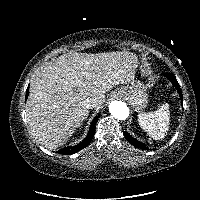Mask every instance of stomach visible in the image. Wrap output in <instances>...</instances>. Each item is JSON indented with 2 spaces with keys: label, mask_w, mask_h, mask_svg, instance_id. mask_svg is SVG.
Returning a JSON list of instances; mask_svg holds the SVG:
<instances>
[{
  "label": "stomach",
  "mask_w": 200,
  "mask_h": 200,
  "mask_svg": "<svg viewBox=\"0 0 200 200\" xmlns=\"http://www.w3.org/2000/svg\"><path fill=\"white\" fill-rule=\"evenodd\" d=\"M114 94L128 99L136 111L144 109L148 103L146 87L139 81L119 88Z\"/></svg>",
  "instance_id": "stomach-1"
}]
</instances>
